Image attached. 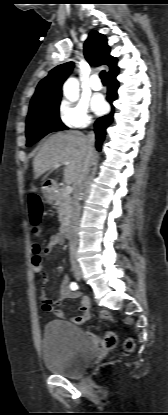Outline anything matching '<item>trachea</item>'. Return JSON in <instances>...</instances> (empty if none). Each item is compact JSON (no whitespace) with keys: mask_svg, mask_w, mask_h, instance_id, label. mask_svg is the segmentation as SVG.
I'll use <instances>...</instances> for the list:
<instances>
[{"mask_svg":"<svg viewBox=\"0 0 168 415\" xmlns=\"http://www.w3.org/2000/svg\"><path fill=\"white\" fill-rule=\"evenodd\" d=\"M100 78H101L102 82H104V83H106V82L108 81V78H107L106 72H105L104 70H102V71L100 72Z\"/></svg>","mask_w":168,"mask_h":415,"instance_id":"1","label":"trachea"}]
</instances>
